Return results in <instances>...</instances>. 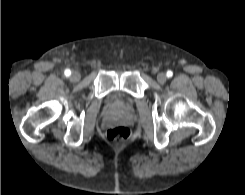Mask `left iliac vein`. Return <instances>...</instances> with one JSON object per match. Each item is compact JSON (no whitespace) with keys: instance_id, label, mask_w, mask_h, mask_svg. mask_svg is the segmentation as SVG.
Returning <instances> with one entry per match:
<instances>
[{"instance_id":"left-iliac-vein-1","label":"left iliac vein","mask_w":245,"mask_h":195,"mask_svg":"<svg viewBox=\"0 0 245 195\" xmlns=\"http://www.w3.org/2000/svg\"><path fill=\"white\" fill-rule=\"evenodd\" d=\"M157 81L160 83V84H164L166 81H167V76L166 74L164 73H159L157 75Z\"/></svg>"}]
</instances>
